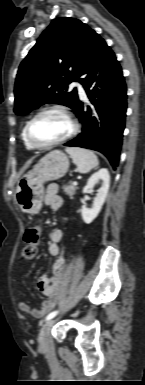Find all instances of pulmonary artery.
I'll use <instances>...</instances> for the list:
<instances>
[{
    "mask_svg": "<svg viewBox=\"0 0 145 385\" xmlns=\"http://www.w3.org/2000/svg\"><path fill=\"white\" fill-rule=\"evenodd\" d=\"M71 86L77 88L78 93H79V95H80V97H81L82 99H86L85 91H84V89L82 88V86H81L79 83L73 82Z\"/></svg>",
    "mask_w": 145,
    "mask_h": 385,
    "instance_id": "pulmonary-artery-1",
    "label": "pulmonary artery"
}]
</instances>
